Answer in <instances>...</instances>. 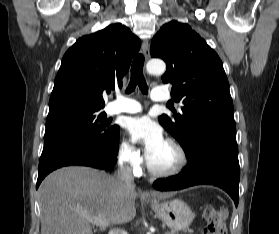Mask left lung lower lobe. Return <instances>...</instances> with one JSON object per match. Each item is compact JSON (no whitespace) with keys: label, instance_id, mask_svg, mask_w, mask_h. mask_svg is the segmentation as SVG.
Returning <instances> with one entry per match:
<instances>
[{"label":"left lung lower lobe","instance_id":"0a47b994","mask_svg":"<svg viewBox=\"0 0 279 234\" xmlns=\"http://www.w3.org/2000/svg\"><path fill=\"white\" fill-rule=\"evenodd\" d=\"M188 166L175 176L154 182L156 189L172 191L209 184L224 189L238 205L240 167L236 130L213 128L200 134L187 156Z\"/></svg>","mask_w":279,"mask_h":234}]
</instances>
